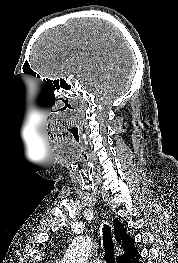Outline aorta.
Wrapping results in <instances>:
<instances>
[{
  "mask_svg": "<svg viewBox=\"0 0 178 263\" xmlns=\"http://www.w3.org/2000/svg\"><path fill=\"white\" fill-rule=\"evenodd\" d=\"M92 249V240L90 236L84 235L76 237L62 263H86Z\"/></svg>",
  "mask_w": 178,
  "mask_h": 263,
  "instance_id": "762f6f07",
  "label": "aorta"
}]
</instances>
